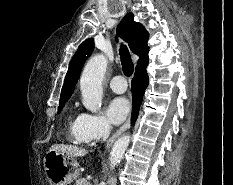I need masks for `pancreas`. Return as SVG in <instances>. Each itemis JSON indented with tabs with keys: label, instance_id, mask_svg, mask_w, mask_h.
<instances>
[{
	"label": "pancreas",
	"instance_id": "cf45deb5",
	"mask_svg": "<svg viewBox=\"0 0 233 185\" xmlns=\"http://www.w3.org/2000/svg\"><path fill=\"white\" fill-rule=\"evenodd\" d=\"M74 185H88V182L84 178H78Z\"/></svg>",
	"mask_w": 233,
	"mask_h": 185
}]
</instances>
